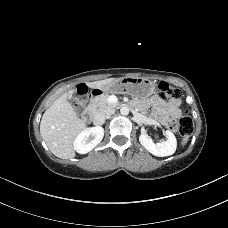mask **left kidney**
Here are the masks:
<instances>
[{
  "mask_svg": "<svg viewBox=\"0 0 228 228\" xmlns=\"http://www.w3.org/2000/svg\"><path fill=\"white\" fill-rule=\"evenodd\" d=\"M167 140L165 142L155 143L147 134H141L139 141L151 154L158 157H165L174 154L177 147V140L175 135L167 130Z\"/></svg>",
  "mask_w": 228,
  "mask_h": 228,
  "instance_id": "obj_1",
  "label": "left kidney"
}]
</instances>
